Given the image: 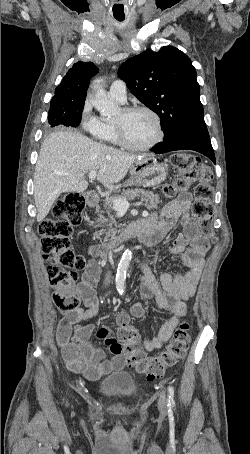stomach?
<instances>
[{"instance_id": "0dacf381", "label": "stomach", "mask_w": 250, "mask_h": 454, "mask_svg": "<svg viewBox=\"0 0 250 454\" xmlns=\"http://www.w3.org/2000/svg\"><path fill=\"white\" fill-rule=\"evenodd\" d=\"M168 165L157 162L150 155L141 156L136 159L130 167L132 183L138 186H154L166 179Z\"/></svg>"}]
</instances>
